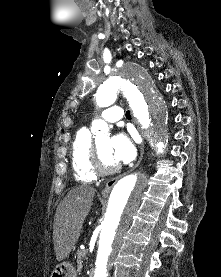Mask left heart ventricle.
Masks as SVG:
<instances>
[{
  "label": "left heart ventricle",
  "instance_id": "left-heart-ventricle-1",
  "mask_svg": "<svg viewBox=\"0 0 221 277\" xmlns=\"http://www.w3.org/2000/svg\"><path fill=\"white\" fill-rule=\"evenodd\" d=\"M97 146L100 151L102 162L105 166L111 167L117 164L110 152V139L104 138L97 142Z\"/></svg>",
  "mask_w": 221,
  "mask_h": 277
}]
</instances>
